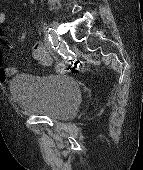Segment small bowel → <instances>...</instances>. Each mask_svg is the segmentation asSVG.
Here are the masks:
<instances>
[{"mask_svg": "<svg viewBox=\"0 0 143 170\" xmlns=\"http://www.w3.org/2000/svg\"><path fill=\"white\" fill-rule=\"evenodd\" d=\"M5 22V14L0 11V30L1 26ZM33 57L41 62L44 66H49L52 64V57L47 51L45 45L42 41H36L32 49ZM16 70L11 66L4 65L2 61V54L0 51V81H6L10 76L14 75Z\"/></svg>", "mask_w": 143, "mask_h": 170, "instance_id": "small-bowel-1", "label": "small bowel"}]
</instances>
